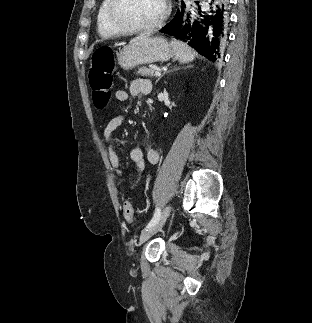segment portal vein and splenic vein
I'll return each mask as SVG.
<instances>
[{"label":"portal vein and splenic vein","mask_w":312,"mask_h":323,"mask_svg":"<svg viewBox=\"0 0 312 323\" xmlns=\"http://www.w3.org/2000/svg\"><path fill=\"white\" fill-rule=\"evenodd\" d=\"M155 76H161V72H155Z\"/></svg>","instance_id":"portal-vein-and-splenic-vein-1"}]
</instances>
